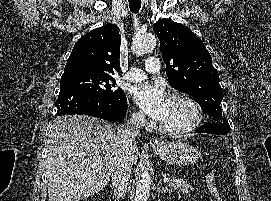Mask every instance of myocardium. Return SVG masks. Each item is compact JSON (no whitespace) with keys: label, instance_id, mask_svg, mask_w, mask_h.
Segmentation results:
<instances>
[{"label":"myocardium","instance_id":"obj_1","mask_svg":"<svg viewBox=\"0 0 271 201\" xmlns=\"http://www.w3.org/2000/svg\"><path fill=\"white\" fill-rule=\"evenodd\" d=\"M169 100H177L185 103L192 112V120L189 124L181 128H169L160 123L159 128L163 133L172 136H182L193 132L201 125L203 121V111L195 99L185 93L175 92L170 96Z\"/></svg>","mask_w":271,"mask_h":201}]
</instances>
